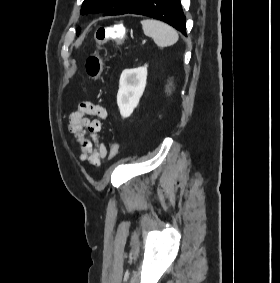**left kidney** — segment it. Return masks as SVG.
Segmentation results:
<instances>
[{
	"label": "left kidney",
	"instance_id": "left-kidney-1",
	"mask_svg": "<svg viewBox=\"0 0 280 283\" xmlns=\"http://www.w3.org/2000/svg\"><path fill=\"white\" fill-rule=\"evenodd\" d=\"M147 65L134 69H125L119 80L117 104L123 118L129 117L137 107L145 90Z\"/></svg>",
	"mask_w": 280,
	"mask_h": 283
}]
</instances>
